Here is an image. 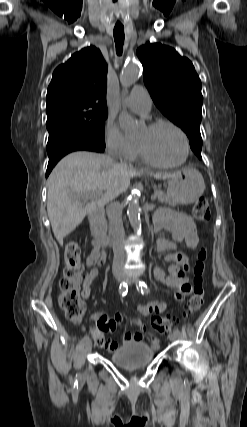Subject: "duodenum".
I'll use <instances>...</instances> for the list:
<instances>
[{
	"label": "duodenum",
	"mask_w": 247,
	"mask_h": 427,
	"mask_svg": "<svg viewBox=\"0 0 247 427\" xmlns=\"http://www.w3.org/2000/svg\"><path fill=\"white\" fill-rule=\"evenodd\" d=\"M104 209L102 207L94 209L89 215L90 230L94 242L102 247L109 246V238L103 222Z\"/></svg>",
	"instance_id": "obj_1"
}]
</instances>
